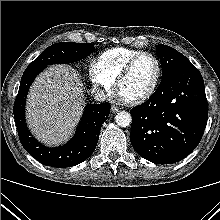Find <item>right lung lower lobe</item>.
Listing matches in <instances>:
<instances>
[{"label": "right lung lower lobe", "mask_w": 220, "mask_h": 220, "mask_svg": "<svg viewBox=\"0 0 220 220\" xmlns=\"http://www.w3.org/2000/svg\"><path fill=\"white\" fill-rule=\"evenodd\" d=\"M44 68L27 67L14 103V118L21 144L39 162L52 167H71L85 161L95 150L102 123L108 118L110 104H90L85 107L75 136L67 144L50 148L32 137L25 123L26 95L34 78Z\"/></svg>", "instance_id": "right-lung-lower-lobe-1"}]
</instances>
